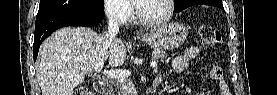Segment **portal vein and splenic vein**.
Listing matches in <instances>:
<instances>
[{
  "mask_svg": "<svg viewBox=\"0 0 277 95\" xmlns=\"http://www.w3.org/2000/svg\"><path fill=\"white\" fill-rule=\"evenodd\" d=\"M103 66H104V62L96 64L94 66V71L101 72L103 69ZM150 66L152 68H156L157 62H155V61L150 62ZM102 74L107 76L108 78H114V79L123 81L124 79H126L130 76V71H128V70H104L102 72Z\"/></svg>",
  "mask_w": 277,
  "mask_h": 95,
  "instance_id": "obj_1",
  "label": "portal vein and splenic vein"
}]
</instances>
